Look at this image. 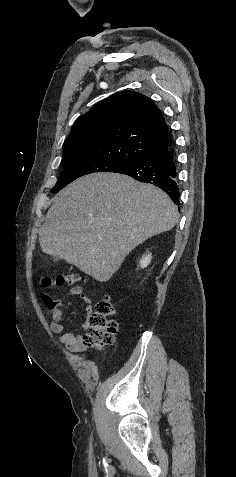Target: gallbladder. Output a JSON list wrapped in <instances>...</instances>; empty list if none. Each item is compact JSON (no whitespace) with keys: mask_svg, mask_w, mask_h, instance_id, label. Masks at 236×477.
Instances as JSON below:
<instances>
[{"mask_svg":"<svg viewBox=\"0 0 236 477\" xmlns=\"http://www.w3.org/2000/svg\"><path fill=\"white\" fill-rule=\"evenodd\" d=\"M53 258H54V261H57L59 259V257L57 256H54Z\"/></svg>","mask_w":236,"mask_h":477,"instance_id":"obj_1","label":"gallbladder"}]
</instances>
